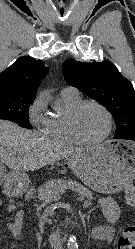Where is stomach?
<instances>
[{"label":"stomach","instance_id":"obj_1","mask_svg":"<svg viewBox=\"0 0 135 249\" xmlns=\"http://www.w3.org/2000/svg\"><path fill=\"white\" fill-rule=\"evenodd\" d=\"M68 165L89 188L118 193L135 179V143L106 141L72 156ZM12 176L22 186L28 182L25 174L14 172Z\"/></svg>","mask_w":135,"mask_h":249}]
</instances>
